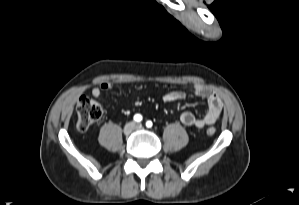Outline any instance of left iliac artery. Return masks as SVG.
I'll return each instance as SVG.
<instances>
[{
    "label": "left iliac artery",
    "mask_w": 299,
    "mask_h": 205,
    "mask_svg": "<svg viewBox=\"0 0 299 205\" xmlns=\"http://www.w3.org/2000/svg\"><path fill=\"white\" fill-rule=\"evenodd\" d=\"M152 125H153V123H152L151 121H147V122H146V126H147L148 128H151Z\"/></svg>",
    "instance_id": "obj_1"
}]
</instances>
